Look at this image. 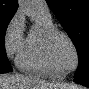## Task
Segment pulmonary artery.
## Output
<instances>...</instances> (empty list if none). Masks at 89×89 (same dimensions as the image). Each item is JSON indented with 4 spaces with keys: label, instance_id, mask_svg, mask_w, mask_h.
Masks as SVG:
<instances>
[{
    "label": "pulmonary artery",
    "instance_id": "e3ab8cb5",
    "mask_svg": "<svg viewBox=\"0 0 89 89\" xmlns=\"http://www.w3.org/2000/svg\"><path fill=\"white\" fill-rule=\"evenodd\" d=\"M34 10H35L36 13H39V14H42V15H45V16L50 15L48 5L43 0L34 1Z\"/></svg>",
    "mask_w": 89,
    "mask_h": 89
}]
</instances>
